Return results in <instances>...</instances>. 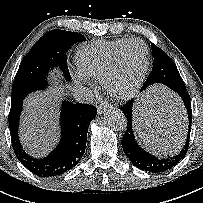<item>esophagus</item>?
Returning <instances> with one entry per match:
<instances>
[{"mask_svg": "<svg viewBox=\"0 0 203 203\" xmlns=\"http://www.w3.org/2000/svg\"><path fill=\"white\" fill-rule=\"evenodd\" d=\"M107 107H108L107 105H99L97 107L98 114H103L104 112H106Z\"/></svg>", "mask_w": 203, "mask_h": 203, "instance_id": "obj_1", "label": "esophagus"}]
</instances>
